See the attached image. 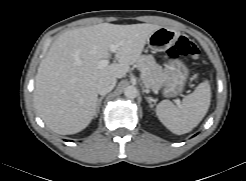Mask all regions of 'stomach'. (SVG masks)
Segmentation results:
<instances>
[{"mask_svg":"<svg viewBox=\"0 0 246 181\" xmlns=\"http://www.w3.org/2000/svg\"><path fill=\"white\" fill-rule=\"evenodd\" d=\"M179 33L171 28L160 27L148 39V46L153 51H163L174 44ZM167 77L158 87L166 97L177 96L183 92L189 77V69L180 60H170L166 64ZM157 89V90H158Z\"/></svg>","mask_w":246,"mask_h":181,"instance_id":"stomach-1","label":"stomach"}]
</instances>
